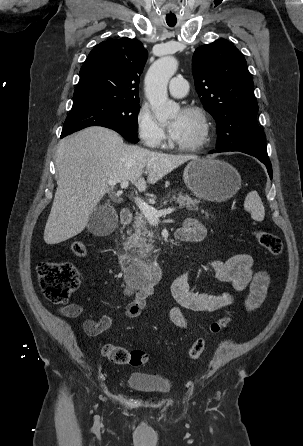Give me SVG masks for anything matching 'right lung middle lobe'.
Returning a JSON list of instances; mask_svg holds the SVG:
<instances>
[{"mask_svg": "<svg viewBox=\"0 0 303 446\" xmlns=\"http://www.w3.org/2000/svg\"><path fill=\"white\" fill-rule=\"evenodd\" d=\"M139 102L109 101L72 108L61 133L65 137L89 126L115 130L130 142H138L137 116Z\"/></svg>", "mask_w": 303, "mask_h": 446, "instance_id": "1", "label": "right lung middle lobe"}]
</instances>
